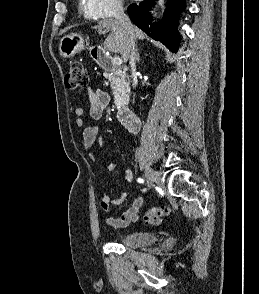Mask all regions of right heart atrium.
<instances>
[{"label": "right heart atrium", "instance_id": "right-heart-atrium-1", "mask_svg": "<svg viewBox=\"0 0 259 294\" xmlns=\"http://www.w3.org/2000/svg\"><path fill=\"white\" fill-rule=\"evenodd\" d=\"M97 17L109 18L120 14L123 9V0H89Z\"/></svg>", "mask_w": 259, "mask_h": 294}]
</instances>
